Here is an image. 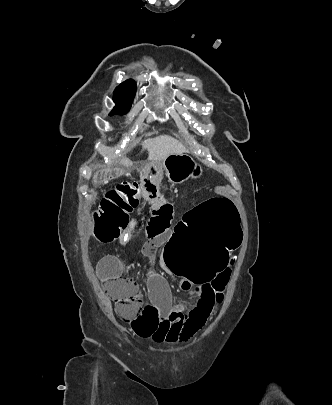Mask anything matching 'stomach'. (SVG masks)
Wrapping results in <instances>:
<instances>
[{"mask_svg": "<svg viewBox=\"0 0 332 405\" xmlns=\"http://www.w3.org/2000/svg\"><path fill=\"white\" fill-rule=\"evenodd\" d=\"M161 165L169 181L175 184L189 178H200L203 174L202 167L187 154H171L163 160Z\"/></svg>", "mask_w": 332, "mask_h": 405, "instance_id": "1", "label": "stomach"}]
</instances>
